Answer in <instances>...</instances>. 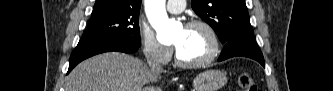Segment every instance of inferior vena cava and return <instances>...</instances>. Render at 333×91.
<instances>
[{
    "instance_id": "inferior-vena-cava-1",
    "label": "inferior vena cava",
    "mask_w": 333,
    "mask_h": 91,
    "mask_svg": "<svg viewBox=\"0 0 333 91\" xmlns=\"http://www.w3.org/2000/svg\"><path fill=\"white\" fill-rule=\"evenodd\" d=\"M147 62H148V65H149L151 71L157 72V73H160L163 71V68L155 54H153L152 57L148 58Z\"/></svg>"
}]
</instances>
